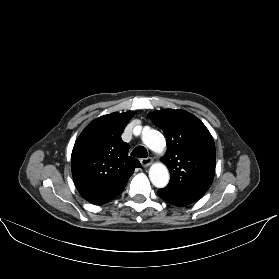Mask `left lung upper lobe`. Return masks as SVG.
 <instances>
[{"label": "left lung upper lobe", "mask_w": 279, "mask_h": 279, "mask_svg": "<svg viewBox=\"0 0 279 279\" xmlns=\"http://www.w3.org/2000/svg\"><path fill=\"white\" fill-rule=\"evenodd\" d=\"M163 130L167 152L162 161L170 172L169 184L162 193L191 202L199 200L214 178L216 150L206 126L184 110L165 109L148 114Z\"/></svg>", "instance_id": "obj_1"}]
</instances>
